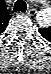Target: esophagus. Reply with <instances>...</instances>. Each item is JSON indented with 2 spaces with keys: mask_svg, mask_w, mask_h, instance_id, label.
<instances>
[{
  "mask_svg": "<svg viewBox=\"0 0 51 74\" xmlns=\"http://www.w3.org/2000/svg\"><path fill=\"white\" fill-rule=\"evenodd\" d=\"M36 13V10L34 9H28V14L34 15Z\"/></svg>",
  "mask_w": 51,
  "mask_h": 74,
  "instance_id": "esophagus-1",
  "label": "esophagus"
}]
</instances>
